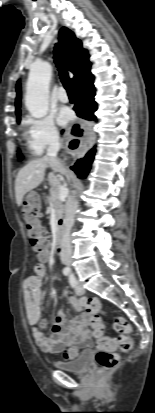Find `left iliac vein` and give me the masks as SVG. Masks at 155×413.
<instances>
[{
	"mask_svg": "<svg viewBox=\"0 0 155 413\" xmlns=\"http://www.w3.org/2000/svg\"><path fill=\"white\" fill-rule=\"evenodd\" d=\"M74 290H75V293L79 296L85 293L84 288L81 286L79 282H76Z\"/></svg>",
	"mask_w": 155,
	"mask_h": 413,
	"instance_id": "left-iliac-vein-1",
	"label": "left iliac vein"
}]
</instances>
